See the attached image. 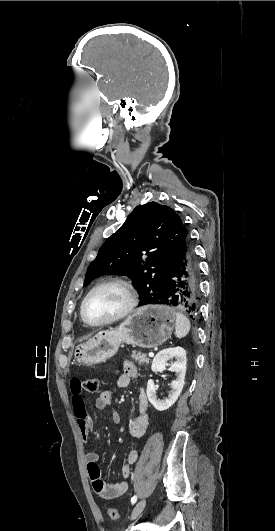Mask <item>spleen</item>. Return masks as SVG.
Wrapping results in <instances>:
<instances>
[{
  "instance_id": "obj_1",
  "label": "spleen",
  "mask_w": 275,
  "mask_h": 531,
  "mask_svg": "<svg viewBox=\"0 0 275 531\" xmlns=\"http://www.w3.org/2000/svg\"><path fill=\"white\" fill-rule=\"evenodd\" d=\"M175 315V335L178 339H182V337L188 335L191 329L190 321L187 319L186 315H183V313H175Z\"/></svg>"
}]
</instances>
